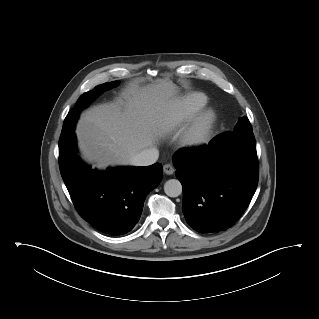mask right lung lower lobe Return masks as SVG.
<instances>
[{
	"label": "right lung lower lobe",
	"instance_id": "obj_1",
	"mask_svg": "<svg viewBox=\"0 0 319 319\" xmlns=\"http://www.w3.org/2000/svg\"><path fill=\"white\" fill-rule=\"evenodd\" d=\"M73 133L59 144L62 178L79 214L97 230L123 235L138 223L146 196L158 186L162 165L95 171L76 154Z\"/></svg>",
	"mask_w": 319,
	"mask_h": 319
}]
</instances>
